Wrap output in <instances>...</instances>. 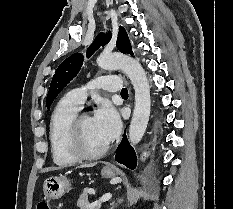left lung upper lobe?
Instances as JSON below:
<instances>
[{"instance_id": "left-lung-upper-lobe-1", "label": "left lung upper lobe", "mask_w": 233, "mask_h": 209, "mask_svg": "<svg viewBox=\"0 0 233 209\" xmlns=\"http://www.w3.org/2000/svg\"><path fill=\"white\" fill-rule=\"evenodd\" d=\"M111 39V34L100 33L93 44L87 50V56H91L99 46L106 45ZM116 46L122 53L133 54L132 47L128 35L123 27L119 28ZM83 62V56L75 53L65 59L57 68L49 88L46 98L47 108H50L53 100L59 92L77 75Z\"/></svg>"}]
</instances>
